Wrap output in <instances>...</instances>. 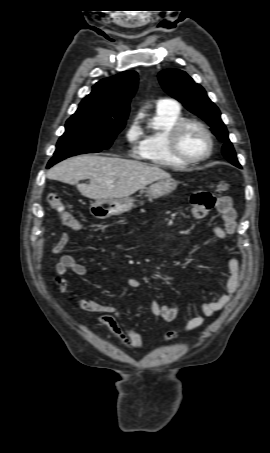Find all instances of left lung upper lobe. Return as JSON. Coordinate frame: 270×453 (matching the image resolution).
<instances>
[{"instance_id":"1","label":"left lung upper lobe","mask_w":270,"mask_h":453,"mask_svg":"<svg viewBox=\"0 0 270 453\" xmlns=\"http://www.w3.org/2000/svg\"><path fill=\"white\" fill-rule=\"evenodd\" d=\"M163 89L179 100L192 113L206 121L218 139L224 142L222 153L233 165L241 168L235 150L228 138V131L220 118L217 106L208 98L202 86L195 83L184 71L165 69L159 73Z\"/></svg>"}]
</instances>
